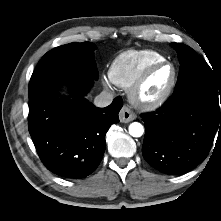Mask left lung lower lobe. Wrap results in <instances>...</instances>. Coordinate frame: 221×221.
<instances>
[{
  "mask_svg": "<svg viewBox=\"0 0 221 221\" xmlns=\"http://www.w3.org/2000/svg\"><path fill=\"white\" fill-rule=\"evenodd\" d=\"M141 117L146 128L143 157L168 175L195 168L207 157L217 132L220 137L218 97L202 88L174 91L160 109Z\"/></svg>",
  "mask_w": 221,
  "mask_h": 221,
  "instance_id": "left-lung-lower-lobe-1",
  "label": "left lung lower lobe"
}]
</instances>
